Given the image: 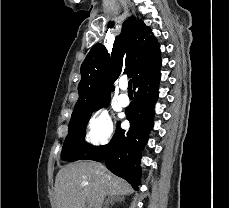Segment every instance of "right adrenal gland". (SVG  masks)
<instances>
[{"label": "right adrenal gland", "mask_w": 229, "mask_h": 208, "mask_svg": "<svg viewBox=\"0 0 229 208\" xmlns=\"http://www.w3.org/2000/svg\"><path fill=\"white\" fill-rule=\"evenodd\" d=\"M114 202H123V198H116V196H110L109 200L106 202L107 206H113Z\"/></svg>", "instance_id": "1"}]
</instances>
